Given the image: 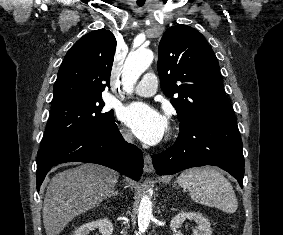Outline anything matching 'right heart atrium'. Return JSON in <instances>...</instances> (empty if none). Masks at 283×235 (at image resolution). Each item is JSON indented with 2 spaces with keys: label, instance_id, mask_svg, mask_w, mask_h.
Masks as SVG:
<instances>
[{
  "label": "right heart atrium",
  "instance_id": "obj_1",
  "mask_svg": "<svg viewBox=\"0 0 283 235\" xmlns=\"http://www.w3.org/2000/svg\"><path fill=\"white\" fill-rule=\"evenodd\" d=\"M122 136L126 141H131L132 140V134L131 132L126 129V128H122L121 130Z\"/></svg>",
  "mask_w": 283,
  "mask_h": 235
}]
</instances>
